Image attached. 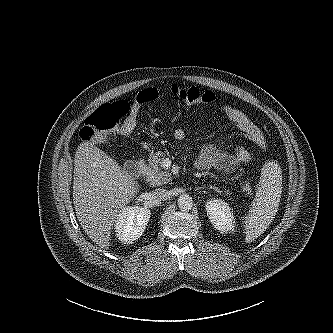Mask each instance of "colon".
Returning <instances> with one entry per match:
<instances>
[{
    "instance_id": "5ec220e1",
    "label": "colon",
    "mask_w": 333,
    "mask_h": 333,
    "mask_svg": "<svg viewBox=\"0 0 333 333\" xmlns=\"http://www.w3.org/2000/svg\"><path fill=\"white\" fill-rule=\"evenodd\" d=\"M172 94L188 105H207L216 101L213 92L198 87L173 85ZM158 97L159 92L156 88H146L137 93L133 103L120 100L101 105L87 118L80 131V137L85 141H99L110 133H131L136 126L140 108L144 104L157 100ZM243 189L251 193L253 186L249 181H245Z\"/></svg>"
}]
</instances>
